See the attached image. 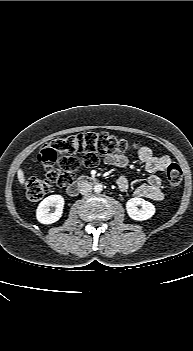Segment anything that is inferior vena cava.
Wrapping results in <instances>:
<instances>
[{
	"instance_id": "1",
	"label": "inferior vena cava",
	"mask_w": 193,
	"mask_h": 351,
	"mask_svg": "<svg viewBox=\"0 0 193 351\" xmlns=\"http://www.w3.org/2000/svg\"><path fill=\"white\" fill-rule=\"evenodd\" d=\"M79 190L82 195H88L92 191V185L88 182H84L83 184H81Z\"/></svg>"
}]
</instances>
